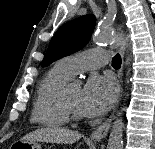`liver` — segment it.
Returning <instances> with one entry per match:
<instances>
[{
	"mask_svg": "<svg viewBox=\"0 0 155 149\" xmlns=\"http://www.w3.org/2000/svg\"><path fill=\"white\" fill-rule=\"evenodd\" d=\"M81 138L78 131L61 127H47L37 129L26 134L21 141H41L59 144H72Z\"/></svg>",
	"mask_w": 155,
	"mask_h": 149,
	"instance_id": "6515ba94",
	"label": "liver"
}]
</instances>
